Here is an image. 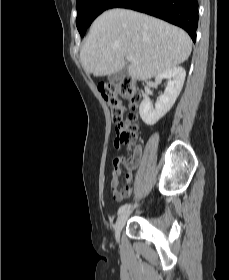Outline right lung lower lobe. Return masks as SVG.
I'll use <instances>...</instances> for the list:
<instances>
[{"mask_svg":"<svg viewBox=\"0 0 229 280\" xmlns=\"http://www.w3.org/2000/svg\"><path fill=\"white\" fill-rule=\"evenodd\" d=\"M127 8L163 19L183 28L196 40L197 0H115L108 9Z\"/></svg>","mask_w":229,"mask_h":280,"instance_id":"98d812e1","label":"right lung lower lobe"}]
</instances>
